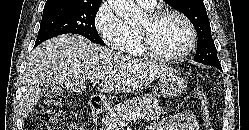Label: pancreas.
Instances as JSON below:
<instances>
[{
    "mask_svg": "<svg viewBox=\"0 0 249 130\" xmlns=\"http://www.w3.org/2000/svg\"><path fill=\"white\" fill-rule=\"evenodd\" d=\"M143 111L146 119L158 120L164 113L163 108L159 106L158 100L152 95H144L136 97L118 104L111 108L102 122L106 126V130H118L121 123L124 121L123 116L128 113Z\"/></svg>",
    "mask_w": 249,
    "mask_h": 130,
    "instance_id": "obj_1",
    "label": "pancreas"
}]
</instances>
